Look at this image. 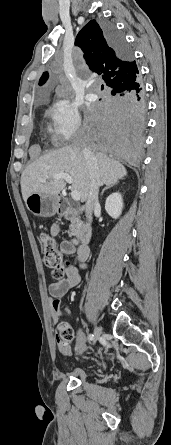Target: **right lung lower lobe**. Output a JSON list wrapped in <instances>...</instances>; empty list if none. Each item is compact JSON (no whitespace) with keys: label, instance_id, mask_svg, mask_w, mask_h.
<instances>
[{"label":"right lung lower lobe","instance_id":"obj_1","mask_svg":"<svg viewBox=\"0 0 171 445\" xmlns=\"http://www.w3.org/2000/svg\"><path fill=\"white\" fill-rule=\"evenodd\" d=\"M100 26L110 46L126 59L130 50L111 23ZM145 93L142 81L111 92L86 113L84 134L92 147L129 164L141 161L145 128Z\"/></svg>","mask_w":171,"mask_h":445}]
</instances>
